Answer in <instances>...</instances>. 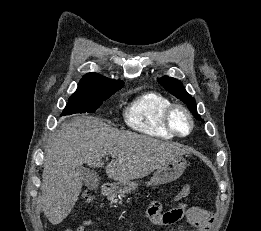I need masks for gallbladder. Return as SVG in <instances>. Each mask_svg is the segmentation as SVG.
Returning a JSON list of instances; mask_svg holds the SVG:
<instances>
[{"label": "gallbladder", "mask_w": 261, "mask_h": 231, "mask_svg": "<svg viewBox=\"0 0 261 231\" xmlns=\"http://www.w3.org/2000/svg\"><path fill=\"white\" fill-rule=\"evenodd\" d=\"M76 172L82 182L90 189L96 188L99 183V177L97 173L86 167L80 166L76 169Z\"/></svg>", "instance_id": "obj_1"}]
</instances>
